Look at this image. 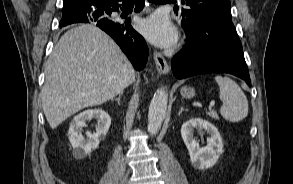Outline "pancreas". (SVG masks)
<instances>
[{"label": "pancreas", "instance_id": "obj_1", "mask_svg": "<svg viewBox=\"0 0 293 184\" xmlns=\"http://www.w3.org/2000/svg\"><path fill=\"white\" fill-rule=\"evenodd\" d=\"M208 115H209L210 117H212L213 119H218L217 112L214 111V110L209 111V112H208Z\"/></svg>", "mask_w": 293, "mask_h": 184}]
</instances>
